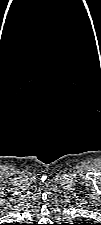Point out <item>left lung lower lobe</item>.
I'll list each match as a JSON object with an SVG mask.
<instances>
[{"label": "left lung lower lobe", "mask_w": 101, "mask_h": 225, "mask_svg": "<svg viewBox=\"0 0 101 225\" xmlns=\"http://www.w3.org/2000/svg\"><path fill=\"white\" fill-rule=\"evenodd\" d=\"M81 225H90L89 223L81 224Z\"/></svg>", "instance_id": "obj_1"}]
</instances>
